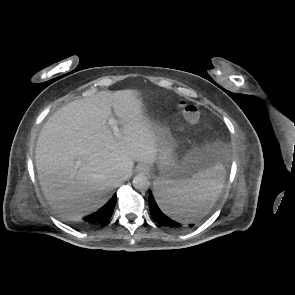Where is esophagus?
Returning <instances> with one entry per match:
<instances>
[{
	"mask_svg": "<svg viewBox=\"0 0 295 295\" xmlns=\"http://www.w3.org/2000/svg\"><path fill=\"white\" fill-rule=\"evenodd\" d=\"M136 170L140 173H147L149 168L146 164L140 163L138 164V166L136 167Z\"/></svg>",
	"mask_w": 295,
	"mask_h": 295,
	"instance_id": "esophagus-1",
	"label": "esophagus"
}]
</instances>
